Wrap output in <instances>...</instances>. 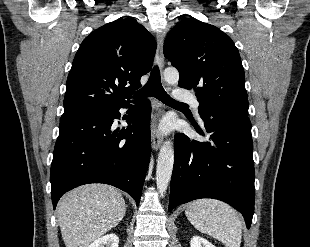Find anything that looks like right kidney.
Listing matches in <instances>:
<instances>
[{
  "label": "right kidney",
  "instance_id": "obj_1",
  "mask_svg": "<svg viewBox=\"0 0 310 247\" xmlns=\"http://www.w3.org/2000/svg\"><path fill=\"white\" fill-rule=\"evenodd\" d=\"M119 238L116 234H107L95 240L88 247H118Z\"/></svg>",
  "mask_w": 310,
  "mask_h": 247
}]
</instances>
